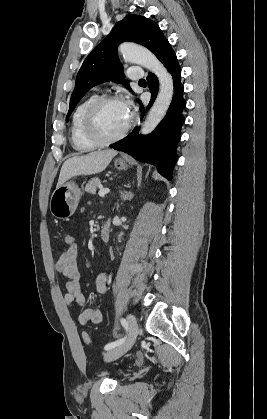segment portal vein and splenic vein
Returning <instances> with one entry per match:
<instances>
[{
	"label": "portal vein and splenic vein",
	"mask_w": 267,
	"mask_h": 419,
	"mask_svg": "<svg viewBox=\"0 0 267 419\" xmlns=\"http://www.w3.org/2000/svg\"><path fill=\"white\" fill-rule=\"evenodd\" d=\"M110 192V190L109 189H107V188H100V190H99V192H98V194H99V196L100 197H104L106 194H108Z\"/></svg>",
	"instance_id": "18ae733b"
}]
</instances>
